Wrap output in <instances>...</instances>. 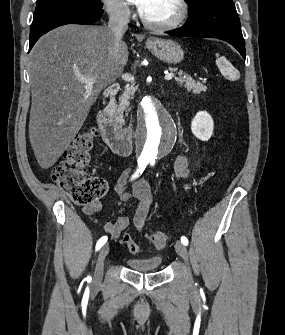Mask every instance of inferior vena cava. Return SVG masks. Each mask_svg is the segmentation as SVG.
<instances>
[{
	"label": "inferior vena cava",
	"instance_id": "obj_1",
	"mask_svg": "<svg viewBox=\"0 0 285 335\" xmlns=\"http://www.w3.org/2000/svg\"><path fill=\"white\" fill-rule=\"evenodd\" d=\"M107 12L109 14L108 28L114 32L118 44H121L123 34L128 30L130 10L123 0H110Z\"/></svg>",
	"mask_w": 285,
	"mask_h": 335
}]
</instances>
